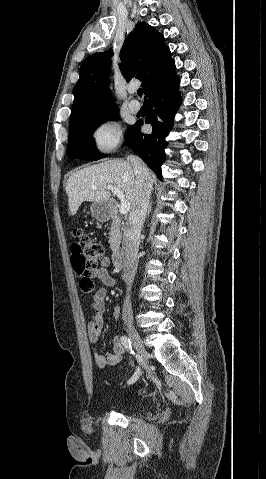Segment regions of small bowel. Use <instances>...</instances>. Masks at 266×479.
I'll list each match as a JSON object with an SVG mask.
<instances>
[{
  "label": "small bowel",
  "instance_id": "1",
  "mask_svg": "<svg viewBox=\"0 0 266 479\" xmlns=\"http://www.w3.org/2000/svg\"><path fill=\"white\" fill-rule=\"evenodd\" d=\"M109 264V259L104 258L102 261V266L96 267L89 272L91 279L98 280L101 284L106 287H114L117 285V280L113 277L107 270L106 266ZM107 295V290L105 287L97 289L92 297L91 308L93 314L87 324V330L89 334V339L92 343H96L102 334L103 331V314L105 312V298ZM121 314V307L115 306L112 310V315L114 318L119 317ZM124 347L118 337L113 338L112 342V351L102 354L98 350H94L93 358L95 364L99 368H104L108 365H116L122 360L124 354Z\"/></svg>",
  "mask_w": 266,
  "mask_h": 479
}]
</instances>
